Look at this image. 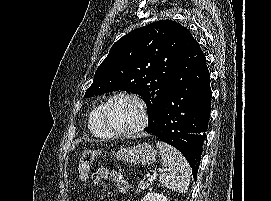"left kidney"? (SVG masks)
Returning a JSON list of instances; mask_svg holds the SVG:
<instances>
[{
    "instance_id": "1",
    "label": "left kidney",
    "mask_w": 271,
    "mask_h": 201,
    "mask_svg": "<svg viewBox=\"0 0 271 201\" xmlns=\"http://www.w3.org/2000/svg\"><path fill=\"white\" fill-rule=\"evenodd\" d=\"M141 201H168L167 197L155 192L147 193Z\"/></svg>"
}]
</instances>
